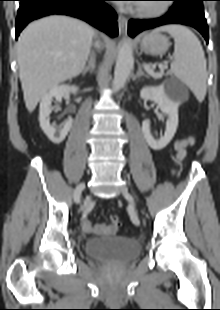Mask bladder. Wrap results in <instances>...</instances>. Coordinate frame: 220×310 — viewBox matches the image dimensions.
Masks as SVG:
<instances>
[{"mask_svg": "<svg viewBox=\"0 0 220 310\" xmlns=\"http://www.w3.org/2000/svg\"><path fill=\"white\" fill-rule=\"evenodd\" d=\"M84 249L88 256L101 262L127 263L140 255L141 244L127 237L113 236L89 239Z\"/></svg>", "mask_w": 220, "mask_h": 310, "instance_id": "bladder-1", "label": "bladder"}]
</instances>
